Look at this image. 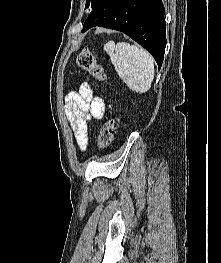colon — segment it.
<instances>
[{
    "label": "colon",
    "instance_id": "5ec220e1",
    "mask_svg": "<svg viewBox=\"0 0 221 263\" xmlns=\"http://www.w3.org/2000/svg\"><path fill=\"white\" fill-rule=\"evenodd\" d=\"M76 61L81 69L89 72L97 81L103 82L106 79V74L102 65L99 63L95 54L91 50H82L78 54ZM116 127L117 123L114 118H110L104 123L98 137V146L100 148H105L113 142Z\"/></svg>",
    "mask_w": 221,
    "mask_h": 263
}]
</instances>
